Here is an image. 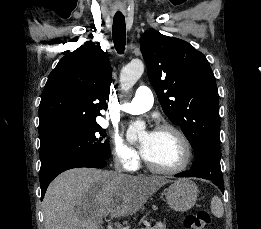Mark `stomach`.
<instances>
[{"instance_id":"0dacf381","label":"stomach","mask_w":261,"mask_h":229,"mask_svg":"<svg viewBox=\"0 0 261 229\" xmlns=\"http://www.w3.org/2000/svg\"><path fill=\"white\" fill-rule=\"evenodd\" d=\"M198 187L194 183H190L187 179L174 181L168 189H165L167 203L173 211H189L195 205L198 197Z\"/></svg>"}]
</instances>
